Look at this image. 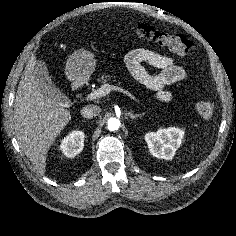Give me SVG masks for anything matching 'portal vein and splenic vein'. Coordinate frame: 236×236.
Segmentation results:
<instances>
[{"label": "portal vein and splenic vein", "instance_id": "1", "mask_svg": "<svg viewBox=\"0 0 236 236\" xmlns=\"http://www.w3.org/2000/svg\"><path fill=\"white\" fill-rule=\"evenodd\" d=\"M113 90L125 94L126 96H128L129 98L134 100L135 102H138V103L140 102L139 99H137L129 91H127V90H125V89H123L121 87L111 85L109 83H106V84L102 85L99 89L95 90L94 92H91L90 94L87 95V97L85 99L87 101L88 100H95L97 98L104 97V96L108 95Z\"/></svg>", "mask_w": 236, "mask_h": 236}]
</instances>
